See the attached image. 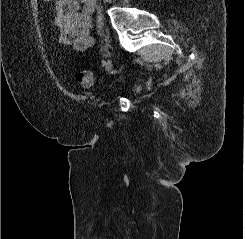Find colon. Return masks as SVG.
<instances>
[{
	"instance_id": "colon-1",
	"label": "colon",
	"mask_w": 245,
	"mask_h": 239,
	"mask_svg": "<svg viewBox=\"0 0 245 239\" xmlns=\"http://www.w3.org/2000/svg\"><path fill=\"white\" fill-rule=\"evenodd\" d=\"M43 1L48 2L50 0ZM77 81L84 88H92L96 83L94 75L89 70L80 71L77 75Z\"/></svg>"
}]
</instances>
